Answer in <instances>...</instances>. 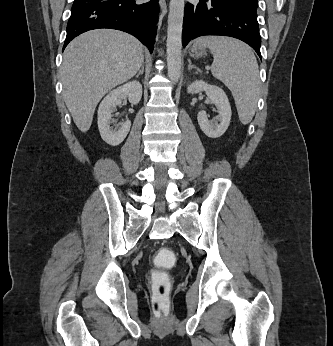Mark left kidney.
Here are the masks:
<instances>
[{
	"label": "left kidney",
	"instance_id": "left-kidney-1",
	"mask_svg": "<svg viewBox=\"0 0 333 346\" xmlns=\"http://www.w3.org/2000/svg\"><path fill=\"white\" fill-rule=\"evenodd\" d=\"M205 91L208 98L218 109L217 121H209L206 112L201 111L197 115L198 123L204 134L210 138H218L227 130L231 120V106L227 95L218 86L207 84L202 80H196L187 87V92L196 94Z\"/></svg>",
	"mask_w": 333,
	"mask_h": 346
}]
</instances>
